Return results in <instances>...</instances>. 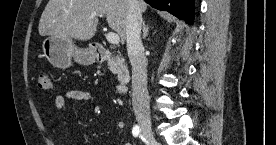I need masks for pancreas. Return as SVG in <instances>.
Wrapping results in <instances>:
<instances>
[{"label":"pancreas","instance_id":"pancreas-1","mask_svg":"<svg viewBox=\"0 0 276 145\" xmlns=\"http://www.w3.org/2000/svg\"><path fill=\"white\" fill-rule=\"evenodd\" d=\"M108 66L113 73L117 72V65L114 61H109Z\"/></svg>","mask_w":276,"mask_h":145}]
</instances>
